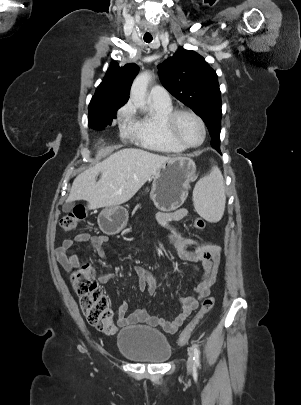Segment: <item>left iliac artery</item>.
I'll use <instances>...</instances> for the list:
<instances>
[{
  "label": "left iliac artery",
  "mask_w": 301,
  "mask_h": 405,
  "mask_svg": "<svg viewBox=\"0 0 301 405\" xmlns=\"http://www.w3.org/2000/svg\"><path fill=\"white\" fill-rule=\"evenodd\" d=\"M193 350H194V357H193L194 364H195V366L198 367L199 364H200V361H199V358H200V351H199V349L197 348L196 345L193 346Z\"/></svg>",
  "instance_id": "obj_1"
}]
</instances>
